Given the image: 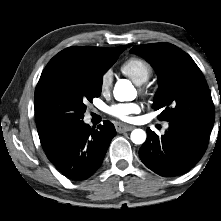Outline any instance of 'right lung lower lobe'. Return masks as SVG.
Returning <instances> with one entry per match:
<instances>
[{"label": "right lung lower lobe", "instance_id": "98d812e1", "mask_svg": "<svg viewBox=\"0 0 221 221\" xmlns=\"http://www.w3.org/2000/svg\"><path fill=\"white\" fill-rule=\"evenodd\" d=\"M97 128L81 120L44 148L49 160L70 180L87 179L101 166L116 130L108 120Z\"/></svg>", "mask_w": 221, "mask_h": 221}]
</instances>
